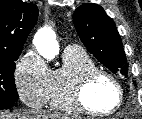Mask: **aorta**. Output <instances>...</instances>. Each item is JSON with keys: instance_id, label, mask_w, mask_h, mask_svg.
Segmentation results:
<instances>
[{"instance_id": "1", "label": "aorta", "mask_w": 142, "mask_h": 119, "mask_svg": "<svg viewBox=\"0 0 142 119\" xmlns=\"http://www.w3.org/2000/svg\"><path fill=\"white\" fill-rule=\"evenodd\" d=\"M33 43L38 53L47 60L54 59L59 54L56 34L51 28H41L38 30Z\"/></svg>"}]
</instances>
